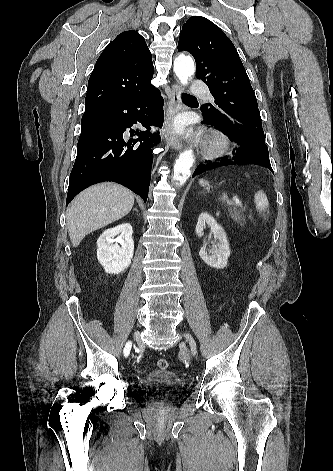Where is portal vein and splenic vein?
Listing matches in <instances>:
<instances>
[{
	"instance_id": "18ae733b",
	"label": "portal vein and splenic vein",
	"mask_w": 333,
	"mask_h": 471,
	"mask_svg": "<svg viewBox=\"0 0 333 471\" xmlns=\"http://www.w3.org/2000/svg\"><path fill=\"white\" fill-rule=\"evenodd\" d=\"M234 204H235L236 206L242 207V203H241V201L239 200V198H237V197L234 198Z\"/></svg>"
}]
</instances>
